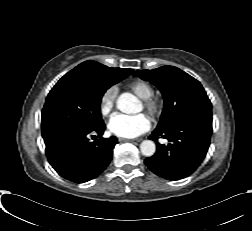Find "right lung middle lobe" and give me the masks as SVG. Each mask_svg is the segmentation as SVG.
Instances as JSON below:
<instances>
[{"label": "right lung middle lobe", "instance_id": "dd1d6c3e", "mask_svg": "<svg viewBox=\"0 0 252 231\" xmlns=\"http://www.w3.org/2000/svg\"><path fill=\"white\" fill-rule=\"evenodd\" d=\"M127 76L116 68L91 60L64 75L48 94L42 110L44 140L61 131H89L103 125L102 96Z\"/></svg>", "mask_w": 252, "mask_h": 231}]
</instances>
